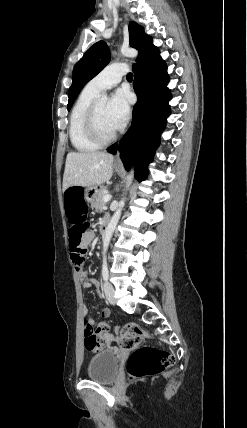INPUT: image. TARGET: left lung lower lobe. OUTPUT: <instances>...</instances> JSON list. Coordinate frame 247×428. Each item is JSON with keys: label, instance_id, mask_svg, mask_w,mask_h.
Segmentation results:
<instances>
[{"label": "left lung lower lobe", "instance_id": "left-lung-lower-lobe-1", "mask_svg": "<svg viewBox=\"0 0 247 428\" xmlns=\"http://www.w3.org/2000/svg\"><path fill=\"white\" fill-rule=\"evenodd\" d=\"M134 91L138 101L133 108L132 125L120 145L111 146L108 151L120 153L126 170H129L136 145V178L145 179L147 165L152 161L154 149L160 141V132L170 114L168 101L171 99L167 88L169 82L165 61L160 52L134 68Z\"/></svg>", "mask_w": 247, "mask_h": 428}]
</instances>
